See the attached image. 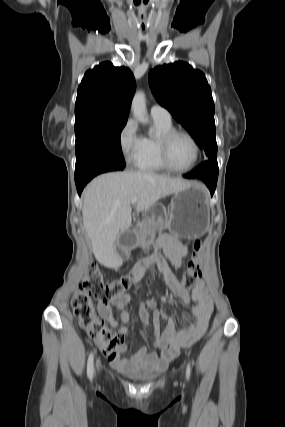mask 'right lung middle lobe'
Here are the masks:
<instances>
[{
    "label": "right lung middle lobe",
    "instance_id": "1",
    "mask_svg": "<svg viewBox=\"0 0 285 427\" xmlns=\"http://www.w3.org/2000/svg\"><path fill=\"white\" fill-rule=\"evenodd\" d=\"M127 119L82 117L75 120V175L95 162L125 165L120 134Z\"/></svg>",
    "mask_w": 285,
    "mask_h": 427
}]
</instances>
